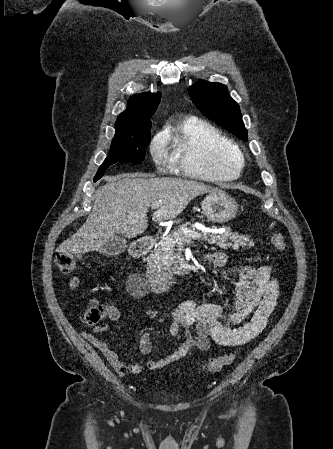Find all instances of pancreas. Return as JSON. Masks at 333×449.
Returning a JSON list of instances; mask_svg holds the SVG:
<instances>
[{"mask_svg": "<svg viewBox=\"0 0 333 449\" xmlns=\"http://www.w3.org/2000/svg\"><path fill=\"white\" fill-rule=\"evenodd\" d=\"M181 227L190 229L195 228L194 224L186 222ZM181 227L175 228L169 235L163 238L154 250L152 258L160 270V272L170 277L173 275L172 270H177L182 259V247L189 244L192 238L186 235ZM202 240L209 243H216L221 248L227 249L232 247L234 250L240 247H251L254 245L253 241L249 240L248 236L240 235L238 232H232L229 228L221 234H207L203 232Z\"/></svg>", "mask_w": 333, "mask_h": 449, "instance_id": "obj_1", "label": "pancreas"}]
</instances>
